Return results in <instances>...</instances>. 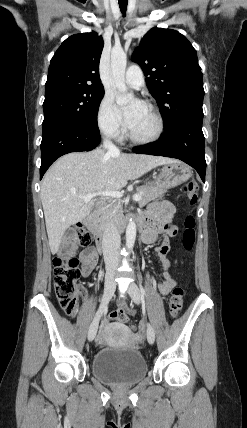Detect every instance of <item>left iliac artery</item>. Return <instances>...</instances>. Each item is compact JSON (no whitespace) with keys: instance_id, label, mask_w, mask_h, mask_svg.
<instances>
[{"instance_id":"obj_1","label":"left iliac artery","mask_w":247,"mask_h":428,"mask_svg":"<svg viewBox=\"0 0 247 428\" xmlns=\"http://www.w3.org/2000/svg\"><path fill=\"white\" fill-rule=\"evenodd\" d=\"M139 286H140V290H141L142 296L143 297L146 296V292H145L144 288L142 287L141 283H139Z\"/></svg>"}]
</instances>
